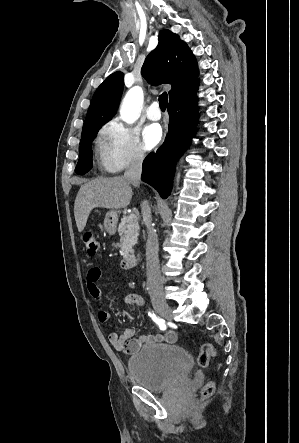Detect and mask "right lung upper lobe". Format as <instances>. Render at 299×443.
I'll use <instances>...</instances> for the list:
<instances>
[{
  "mask_svg": "<svg viewBox=\"0 0 299 443\" xmlns=\"http://www.w3.org/2000/svg\"><path fill=\"white\" fill-rule=\"evenodd\" d=\"M142 75L152 84L172 85L169 97L195 82L197 62L186 43L165 29L159 34L158 46L147 56ZM124 75L111 74L96 90L83 125L82 135L101 127L115 115L124 86Z\"/></svg>",
  "mask_w": 299,
  "mask_h": 443,
  "instance_id": "obj_1",
  "label": "right lung upper lobe"
}]
</instances>
